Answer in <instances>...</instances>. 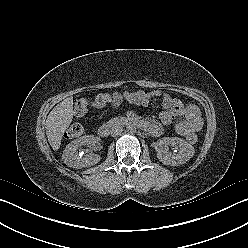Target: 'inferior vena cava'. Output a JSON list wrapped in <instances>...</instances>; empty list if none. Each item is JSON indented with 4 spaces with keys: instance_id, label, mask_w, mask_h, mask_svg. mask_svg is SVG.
<instances>
[{
    "instance_id": "obj_1",
    "label": "inferior vena cava",
    "mask_w": 248,
    "mask_h": 248,
    "mask_svg": "<svg viewBox=\"0 0 248 248\" xmlns=\"http://www.w3.org/2000/svg\"><path fill=\"white\" fill-rule=\"evenodd\" d=\"M123 131V127L122 126H116L111 130V135L112 136H117L120 135L121 132Z\"/></svg>"
}]
</instances>
